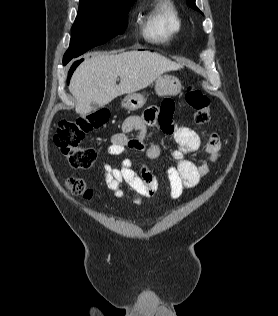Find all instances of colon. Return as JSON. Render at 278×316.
Masks as SVG:
<instances>
[{"label":"colon","instance_id":"obj_1","mask_svg":"<svg viewBox=\"0 0 278 316\" xmlns=\"http://www.w3.org/2000/svg\"><path fill=\"white\" fill-rule=\"evenodd\" d=\"M186 103L194 109V119L198 124H206L211 120L212 112L209 99L203 92L195 87H188L185 93ZM108 120L105 111H98L75 119H63L59 122L54 134V142L61 152L68 158L70 165L76 169L90 168L98 157L93 147L81 146L85 135L102 127ZM68 190L74 195L91 196V191L80 178H71L67 182Z\"/></svg>","mask_w":278,"mask_h":316}]
</instances>
